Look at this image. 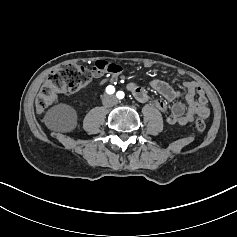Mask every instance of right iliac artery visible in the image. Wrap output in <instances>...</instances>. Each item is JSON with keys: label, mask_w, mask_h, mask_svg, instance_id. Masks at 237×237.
<instances>
[{"label": "right iliac artery", "mask_w": 237, "mask_h": 237, "mask_svg": "<svg viewBox=\"0 0 237 237\" xmlns=\"http://www.w3.org/2000/svg\"><path fill=\"white\" fill-rule=\"evenodd\" d=\"M106 92H107L108 94H113V93L115 92L114 86H112V85L107 86Z\"/></svg>", "instance_id": "right-iliac-artery-1"}]
</instances>
